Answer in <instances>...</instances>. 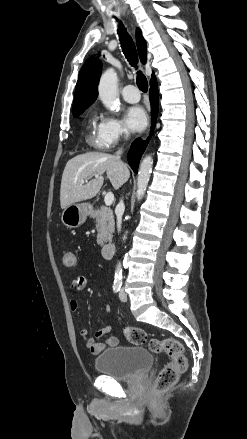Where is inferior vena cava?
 I'll return each instance as SVG.
<instances>
[{
	"label": "inferior vena cava",
	"mask_w": 247,
	"mask_h": 439,
	"mask_svg": "<svg viewBox=\"0 0 247 439\" xmlns=\"http://www.w3.org/2000/svg\"><path fill=\"white\" fill-rule=\"evenodd\" d=\"M116 156H117V158L120 159V151L116 153ZM124 208H125L124 207V203L121 200L119 202V204L117 205L116 209H115V214H116V217H117V228H118V231H120V229H121L122 215H123V212H124Z\"/></svg>",
	"instance_id": "1"
}]
</instances>
